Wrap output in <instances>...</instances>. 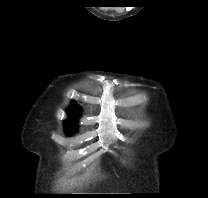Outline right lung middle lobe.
<instances>
[{
    "instance_id": "obj_1",
    "label": "right lung middle lobe",
    "mask_w": 208,
    "mask_h": 198,
    "mask_svg": "<svg viewBox=\"0 0 208 198\" xmlns=\"http://www.w3.org/2000/svg\"><path fill=\"white\" fill-rule=\"evenodd\" d=\"M65 126L67 128V133L72 134L73 132H76V124L74 122L66 121Z\"/></svg>"
}]
</instances>
